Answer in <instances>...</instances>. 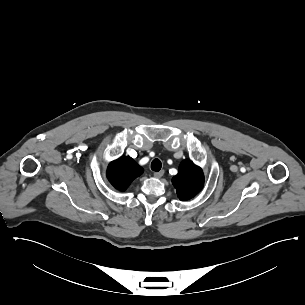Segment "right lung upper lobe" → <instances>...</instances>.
<instances>
[{
	"mask_svg": "<svg viewBox=\"0 0 305 305\" xmlns=\"http://www.w3.org/2000/svg\"><path fill=\"white\" fill-rule=\"evenodd\" d=\"M142 173V167L128 156L111 162L107 169L110 183L120 191H125L130 183Z\"/></svg>",
	"mask_w": 305,
	"mask_h": 305,
	"instance_id": "1",
	"label": "right lung upper lobe"
}]
</instances>
